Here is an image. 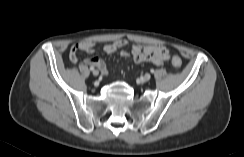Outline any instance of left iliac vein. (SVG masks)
I'll use <instances>...</instances> for the list:
<instances>
[{"instance_id": "4c4485c4", "label": "left iliac vein", "mask_w": 244, "mask_h": 157, "mask_svg": "<svg viewBox=\"0 0 244 157\" xmlns=\"http://www.w3.org/2000/svg\"><path fill=\"white\" fill-rule=\"evenodd\" d=\"M151 78V75L149 73H146L144 76H143V80L144 81H149Z\"/></svg>"}]
</instances>
